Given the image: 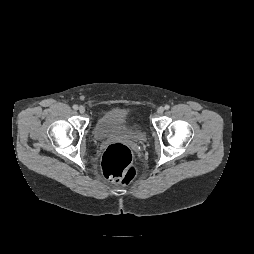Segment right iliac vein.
Wrapping results in <instances>:
<instances>
[{
	"mask_svg": "<svg viewBox=\"0 0 254 254\" xmlns=\"http://www.w3.org/2000/svg\"><path fill=\"white\" fill-rule=\"evenodd\" d=\"M78 110H79V112H80L81 114L85 113V107H84V106H80V107L78 108Z\"/></svg>",
	"mask_w": 254,
	"mask_h": 254,
	"instance_id": "obj_1",
	"label": "right iliac vein"
}]
</instances>
